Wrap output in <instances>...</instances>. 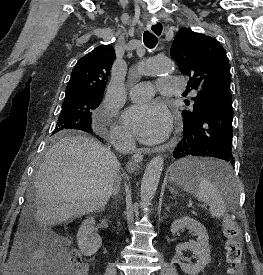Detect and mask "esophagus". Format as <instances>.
<instances>
[{"label":"esophagus","instance_id":"34e87169","mask_svg":"<svg viewBox=\"0 0 263 275\" xmlns=\"http://www.w3.org/2000/svg\"><path fill=\"white\" fill-rule=\"evenodd\" d=\"M147 29L156 35L157 37H161L164 31V26L162 23L157 22L154 24L147 25ZM147 151H150L149 149H146ZM133 164L130 166L131 169H136L138 163H140L143 160V154L142 149H138L132 156Z\"/></svg>","mask_w":263,"mask_h":275}]
</instances>
